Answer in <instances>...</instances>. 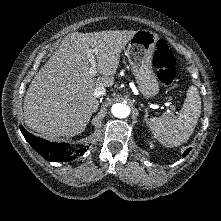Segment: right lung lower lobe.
I'll return each mask as SVG.
<instances>
[{
	"mask_svg": "<svg viewBox=\"0 0 221 221\" xmlns=\"http://www.w3.org/2000/svg\"><path fill=\"white\" fill-rule=\"evenodd\" d=\"M20 130L28 143L46 160L51 162H67L74 160L77 156L83 155L86 152V147L79 149L75 154L67 152L66 143L49 142L42 138L36 137L27 132L23 126Z\"/></svg>",
	"mask_w": 221,
	"mask_h": 221,
	"instance_id": "1",
	"label": "right lung lower lobe"
}]
</instances>
